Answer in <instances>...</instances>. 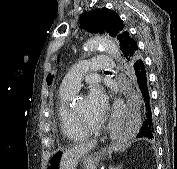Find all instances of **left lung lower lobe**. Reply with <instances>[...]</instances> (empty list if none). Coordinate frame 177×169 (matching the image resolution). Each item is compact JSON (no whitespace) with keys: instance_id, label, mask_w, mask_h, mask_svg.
Returning a JSON list of instances; mask_svg holds the SVG:
<instances>
[{"instance_id":"obj_1","label":"left lung lower lobe","mask_w":177,"mask_h":169,"mask_svg":"<svg viewBox=\"0 0 177 169\" xmlns=\"http://www.w3.org/2000/svg\"><path fill=\"white\" fill-rule=\"evenodd\" d=\"M137 51H138L137 43L136 42L132 43L128 50L129 54L128 59L134 58ZM128 65L129 68L133 71V74L135 76L137 93L143 108V123L137 137L138 138L146 137L149 139H153L155 132L150 106V95L148 90L146 66L141 58L136 59L131 64L128 63Z\"/></svg>"}]
</instances>
